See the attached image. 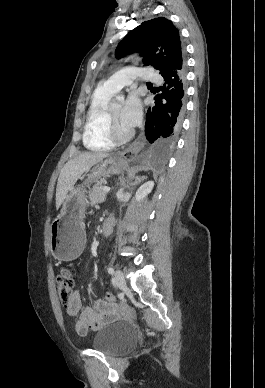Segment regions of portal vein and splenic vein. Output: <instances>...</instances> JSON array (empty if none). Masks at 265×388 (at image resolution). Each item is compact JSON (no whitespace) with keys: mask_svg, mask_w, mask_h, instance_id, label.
I'll use <instances>...</instances> for the list:
<instances>
[{"mask_svg":"<svg viewBox=\"0 0 265 388\" xmlns=\"http://www.w3.org/2000/svg\"><path fill=\"white\" fill-rule=\"evenodd\" d=\"M103 192H110V188H107V186H103Z\"/></svg>","mask_w":265,"mask_h":388,"instance_id":"portal-vein-and-splenic-vein-1","label":"portal vein and splenic vein"}]
</instances>
